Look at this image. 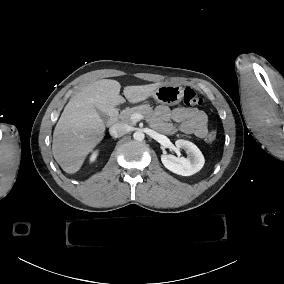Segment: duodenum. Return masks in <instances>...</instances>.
I'll list each match as a JSON object with an SVG mask.
<instances>
[{
	"mask_svg": "<svg viewBox=\"0 0 284 284\" xmlns=\"http://www.w3.org/2000/svg\"><path fill=\"white\" fill-rule=\"evenodd\" d=\"M117 119H118V113L116 110H113L109 113L108 115V119H107V125L108 127H111L113 126L116 122H117Z\"/></svg>",
	"mask_w": 284,
	"mask_h": 284,
	"instance_id": "1",
	"label": "duodenum"
}]
</instances>
